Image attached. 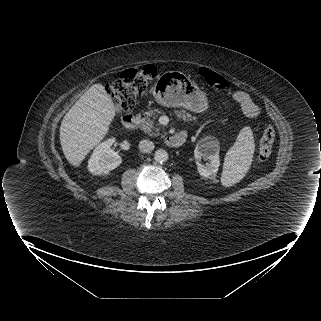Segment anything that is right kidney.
I'll return each mask as SVG.
<instances>
[{"label":"right kidney","instance_id":"obj_1","mask_svg":"<svg viewBox=\"0 0 321 321\" xmlns=\"http://www.w3.org/2000/svg\"><path fill=\"white\" fill-rule=\"evenodd\" d=\"M115 139L110 138L99 144L88 161V170L95 174H107L122 162L121 157L111 149Z\"/></svg>","mask_w":321,"mask_h":321}]
</instances>
